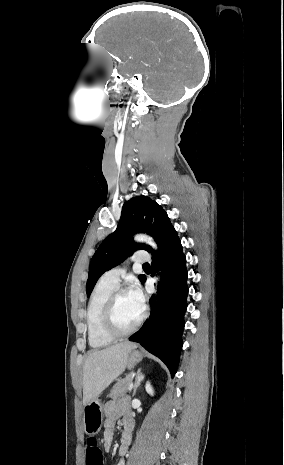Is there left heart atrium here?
<instances>
[{
    "mask_svg": "<svg viewBox=\"0 0 284 465\" xmlns=\"http://www.w3.org/2000/svg\"><path fill=\"white\" fill-rule=\"evenodd\" d=\"M130 300L133 305L139 310L143 311L145 307V296L138 285H133L131 290L128 293Z\"/></svg>",
    "mask_w": 284,
    "mask_h": 465,
    "instance_id": "obj_1",
    "label": "left heart atrium"
}]
</instances>
